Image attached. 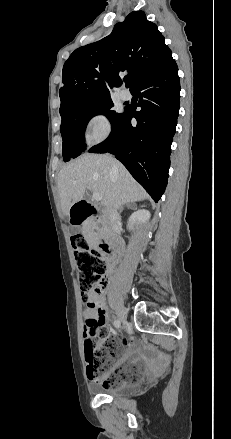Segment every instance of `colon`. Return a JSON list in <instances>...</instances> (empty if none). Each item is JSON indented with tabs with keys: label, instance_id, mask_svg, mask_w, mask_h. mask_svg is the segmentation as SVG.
Returning a JSON list of instances; mask_svg holds the SVG:
<instances>
[{
	"label": "colon",
	"instance_id": "1",
	"mask_svg": "<svg viewBox=\"0 0 231 439\" xmlns=\"http://www.w3.org/2000/svg\"><path fill=\"white\" fill-rule=\"evenodd\" d=\"M71 244L83 299L94 307L95 304L90 301V297L95 292H101L107 284V262L99 251L90 247L83 235H73ZM93 338L95 341L100 339L101 342L94 345L84 343L90 377L102 382L106 387L120 385L125 379L124 369L119 368L110 375L108 371L119 357L126 341L124 338L106 337L104 333L98 334V331Z\"/></svg>",
	"mask_w": 231,
	"mask_h": 439
}]
</instances>
